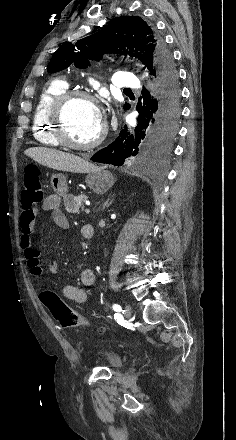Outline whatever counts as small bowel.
I'll use <instances>...</instances> for the list:
<instances>
[{
	"instance_id": "obj_1",
	"label": "small bowel",
	"mask_w": 236,
	"mask_h": 440,
	"mask_svg": "<svg viewBox=\"0 0 236 440\" xmlns=\"http://www.w3.org/2000/svg\"><path fill=\"white\" fill-rule=\"evenodd\" d=\"M61 197L57 194H51L47 196L42 204V210L49 211L52 216V220L56 226L60 228H67L68 221L61 209ZM37 211L35 209L24 210L20 217V246L23 250L24 256L27 260L28 267L31 273L35 276L42 274L43 269L40 264V253L32 245V236L35 232V218ZM85 227V226H84ZM84 227L81 230L83 237L88 238L85 234ZM50 271L56 273L58 271V265L52 263L50 265ZM81 282L84 287H90L95 281V274L93 270L86 268L81 272ZM63 295L78 304H84L88 300L87 291L83 288H78L71 284H66L63 287ZM39 299L43 306L48 309L42 298V294H39Z\"/></svg>"
}]
</instances>
